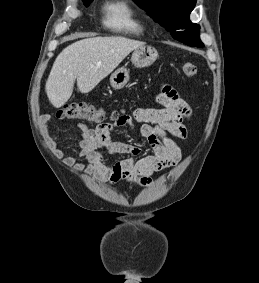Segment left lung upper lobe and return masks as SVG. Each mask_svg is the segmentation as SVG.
<instances>
[{"label":"left lung upper lobe","instance_id":"5c2ea615","mask_svg":"<svg viewBox=\"0 0 259 283\" xmlns=\"http://www.w3.org/2000/svg\"><path fill=\"white\" fill-rule=\"evenodd\" d=\"M161 25L173 38L189 46L203 47L199 26L189 20L196 0H134Z\"/></svg>","mask_w":259,"mask_h":283}]
</instances>
